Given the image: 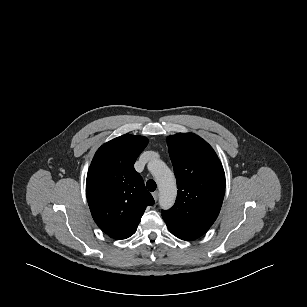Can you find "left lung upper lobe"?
Returning a JSON list of instances; mask_svg holds the SVG:
<instances>
[{
	"instance_id": "5c2ea615",
	"label": "left lung upper lobe",
	"mask_w": 307,
	"mask_h": 307,
	"mask_svg": "<svg viewBox=\"0 0 307 307\" xmlns=\"http://www.w3.org/2000/svg\"><path fill=\"white\" fill-rule=\"evenodd\" d=\"M169 155L177 180L174 206L162 211L175 236L195 240L216 220L225 193V174L213 148L192 133L167 138Z\"/></svg>"
}]
</instances>
